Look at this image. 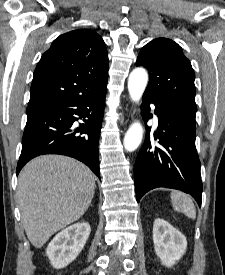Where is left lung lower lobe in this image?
Masks as SVG:
<instances>
[{
    "label": "left lung lower lobe",
    "instance_id": "left-lung-lower-lobe-1",
    "mask_svg": "<svg viewBox=\"0 0 225 275\" xmlns=\"http://www.w3.org/2000/svg\"><path fill=\"white\" fill-rule=\"evenodd\" d=\"M141 106L143 118L148 121L149 105L156 107L158 133L152 141L151 128L146 137L135 166L134 181L137 202L149 190L166 187L189 193L201 205L202 182L200 161L195 147V115L144 93Z\"/></svg>",
    "mask_w": 225,
    "mask_h": 275
}]
</instances>
